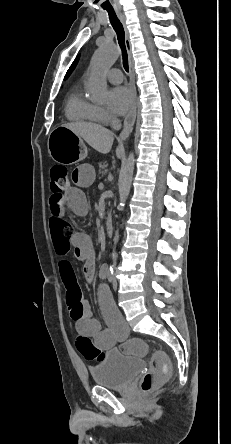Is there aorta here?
I'll list each match as a JSON object with an SVG mask.
<instances>
[{
  "mask_svg": "<svg viewBox=\"0 0 231 444\" xmlns=\"http://www.w3.org/2000/svg\"><path fill=\"white\" fill-rule=\"evenodd\" d=\"M117 58L118 50L112 42L104 43L94 53L87 82V89L92 100L102 102L107 98L108 90L104 71L111 67ZM134 161V154L130 153L120 175L119 211H123L125 202L130 193L134 172ZM118 240L119 231L117 230L113 241L116 243Z\"/></svg>",
  "mask_w": 231,
  "mask_h": 444,
  "instance_id": "aorta-1",
  "label": "aorta"
}]
</instances>
